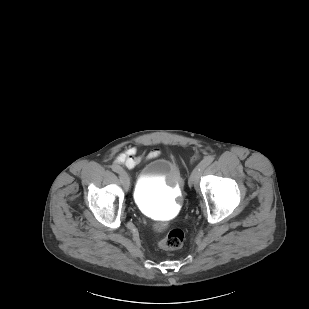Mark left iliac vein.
<instances>
[{"mask_svg":"<svg viewBox=\"0 0 309 309\" xmlns=\"http://www.w3.org/2000/svg\"><path fill=\"white\" fill-rule=\"evenodd\" d=\"M204 169H205V166L201 165L200 170H196L194 174L191 175L190 180H189L190 186L194 185L195 187H198L199 178Z\"/></svg>","mask_w":309,"mask_h":309,"instance_id":"1","label":"left iliac vein"}]
</instances>
